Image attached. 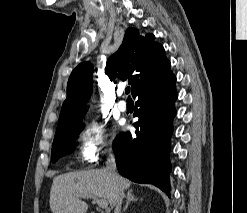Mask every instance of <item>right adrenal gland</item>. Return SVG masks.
<instances>
[{
  "label": "right adrenal gland",
  "mask_w": 247,
  "mask_h": 213,
  "mask_svg": "<svg viewBox=\"0 0 247 213\" xmlns=\"http://www.w3.org/2000/svg\"><path fill=\"white\" fill-rule=\"evenodd\" d=\"M126 199H127V201H126V205L123 208V212H125L127 210L128 205L130 204V202L138 200V198H136L135 195L133 194V190L132 189L127 191Z\"/></svg>",
  "instance_id": "right-adrenal-gland-1"
}]
</instances>
